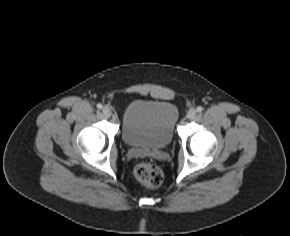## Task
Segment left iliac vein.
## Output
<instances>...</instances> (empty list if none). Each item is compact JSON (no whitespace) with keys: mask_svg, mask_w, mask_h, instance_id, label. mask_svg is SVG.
I'll return each instance as SVG.
<instances>
[{"mask_svg":"<svg viewBox=\"0 0 290 236\" xmlns=\"http://www.w3.org/2000/svg\"><path fill=\"white\" fill-rule=\"evenodd\" d=\"M197 114V111L195 109H190L188 112H187V117L189 119H193Z\"/></svg>","mask_w":290,"mask_h":236,"instance_id":"4c4485c4","label":"left iliac vein"}]
</instances>
